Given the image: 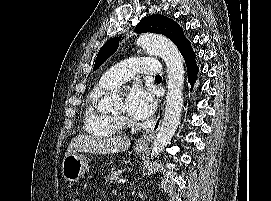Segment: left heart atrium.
Returning a JSON list of instances; mask_svg holds the SVG:
<instances>
[{"mask_svg": "<svg viewBox=\"0 0 271 201\" xmlns=\"http://www.w3.org/2000/svg\"><path fill=\"white\" fill-rule=\"evenodd\" d=\"M126 112L134 119L143 120L151 116L156 108V101L150 89L134 85L125 99Z\"/></svg>", "mask_w": 271, "mask_h": 201, "instance_id": "39dd6f15", "label": "left heart atrium"}]
</instances>
